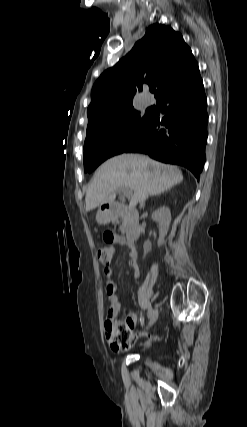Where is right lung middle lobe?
Returning <instances> with one entry per match:
<instances>
[{
	"label": "right lung middle lobe",
	"instance_id": "dd1d6c3e",
	"mask_svg": "<svg viewBox=\"0 0 247 427\" xmlns=\"http://www.w3.org/2000/svg\"><path fill=\"white\" fill-rule=\"evenodd\" d=\"M152 115H141L134 107L113 120L87 129L84 143V171H94L106 159L123 153L145 133Z\"/></svg>",
	"mask_w": 247,
	"mask_h": 427
}]
</instances>
